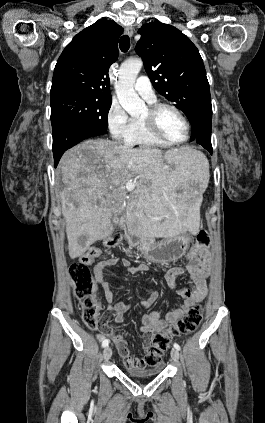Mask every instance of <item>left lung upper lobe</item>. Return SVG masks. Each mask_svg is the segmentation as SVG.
<instances>
[{
  "label": "left lung upper lobe",
  "instance_id": "5c2ea615",
  "mask_svg": "<svg viewBox=\"0 0 265 423\" xmlns=\"http://www.w3.org/2000/svg\"><path fill=\"white\" fill-rule=\"evenodd\" d=\"M135 51L154 88L183 111L192 126L191 140L201 120L212 113L209 83L196 46L177 28L159 21L144 24Z\"/></svg>",
  "mask_w": 265,
  "mask_h": 423
}]
</instances>
